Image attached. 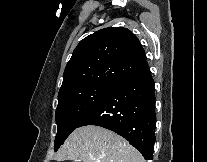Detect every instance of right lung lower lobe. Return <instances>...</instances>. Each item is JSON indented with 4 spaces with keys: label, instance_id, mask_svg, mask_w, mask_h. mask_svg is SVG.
I'll return each instance as SVG.
<instances>
[{
    "label": "right lung lower lobe",
    "instance_id": "obj_1",
    "mask_svg": "<svg viewBox=\"0 0 207 162\" xmlns=\"http://www.w3.org/2000/svg\"><path fill=\"white\" fill-rule=\"evenodd\" d=\"M97 125L127 139L145 160L153 159L154 81L146 66L118 82L78 127Z\"/></svg>",
    "mask_w": 207,
    "mask_h": 162
}]
</instances>
